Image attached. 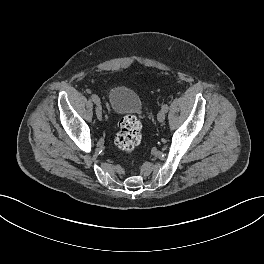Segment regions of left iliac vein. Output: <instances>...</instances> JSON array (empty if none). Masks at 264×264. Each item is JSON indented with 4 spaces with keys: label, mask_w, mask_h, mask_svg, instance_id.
<instances>
[{
    "label": "left iliac vein",
    "mask_w": 264,
    "mask_h": 264,
    "mask_svg": "<svg viewBox=\"0 0 264 264\" xmlns=\"http://www.w3.org/2000/svg\"><path fill=\"white\" fill-rule=\"evenodd\" d=\"M166 117V112L164 110H160L158 115H157V119L160 123H162L165 120Z\"/></svg>",
    "instance_id": "left-iliac-vein-1"
}]
</instances>
